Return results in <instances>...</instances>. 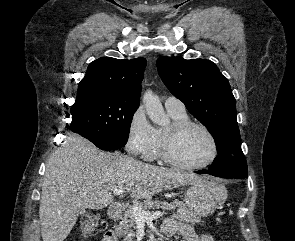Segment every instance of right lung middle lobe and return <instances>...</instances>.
<instances>
[{
  "label": "right lung middle lobe",
  "instance_id": "1",
  "mask_svg": "<svg viewBox=\"0 0 295 241\" xmlns=\"http://www.w3.org/2000/svg\"><path fill=\"white\" fill-rule=\"evenodd\" d=\"M138 102L118 98L102 91L76 99L70 113L69 129L103 150L118 149L127 143Z\"/></svg>",
  "mask_w": 295,
  "mask_h": 241
}]
</instances>
